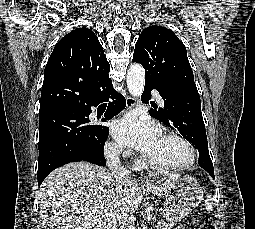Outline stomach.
I'll return each instance as SVG.
<instances>
[{"label": "stomach", "instance_id": "1", "mask_svg": "<svg viewBox=\"0 0 255 229\" xmlns=\"http://www.w3.org/2000/svg\"><path fill=\"white\" fill-rule=\"evenodd\" d=\"M144 189L164 199L163 216L170 222L181 221L200 204L204 194L197 180L186 173L173 174Z\"/></svg>", "mask_w": 255, "mask_h": 229}]
</instances>
